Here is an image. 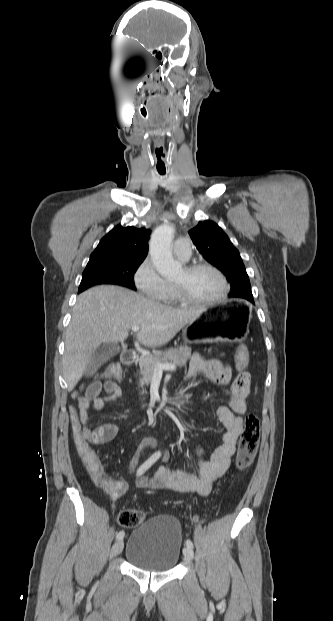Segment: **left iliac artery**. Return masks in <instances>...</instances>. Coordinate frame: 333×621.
Returning a JSON list of instances; mask_svg holds the SVG:
<instances>
[{"instance_id":"44dca946","label":"left iliac artery","mask_w":333,"mask_h":621,"mask_svg":"<svg viewBox=\"0 0 333 621\" xmlns=\"http://www.w3.org/2000/svg\"><path fill=\"white\" fill-rule=\"evenodd\" d=\"M186 546L190 547V548H193V543H192V541L190 539L186 540Z\"/></svg>"}]
</instances>
